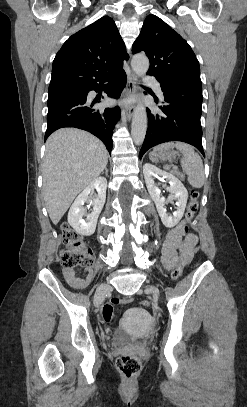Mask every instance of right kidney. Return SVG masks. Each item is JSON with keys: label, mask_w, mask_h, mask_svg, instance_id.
<instances>
[{"label": "right kidney", "mask_w": 247, "mask_h": 407, "mask_svg": "<svg viewBox=\"0 0 247 407\" xmlns=\"http://www.w3.org/2000/svg\"><path fill=\"white\" fill-rule=\"evenodd\" d=\"M97 190L95 196L90 194ZM107 180L104 177H98L93 180L75 199L68 212V223L73 229L85 236H90L95 232L97 220L106 200ZM90 195V196H89ZM92 202L93 211L86 214L84 210V203L87 201ZM86 216V219L83 217Z\"/></svg>", "instance_id": "right-kidney-1"}]
</instances>
